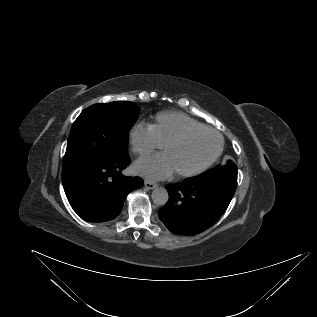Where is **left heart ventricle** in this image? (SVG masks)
I'll return each instance as SVG.
<instances>
[{"instance_id":"b2bd125f","label":"left heart ventricle","mask_w":317,"mask_h":317,"mask_svg":"<svg viewBox=\"0 0 317 317\" xmlns=\"http://www.w3.org/2000/svg\"><path fill=\"white\" fill-rule=\"evenodd\" d=\"M219 138L211 132H200L164 151L174 172L194 169L207 161L217 150Z\"/></svg>"}]
</instances>
